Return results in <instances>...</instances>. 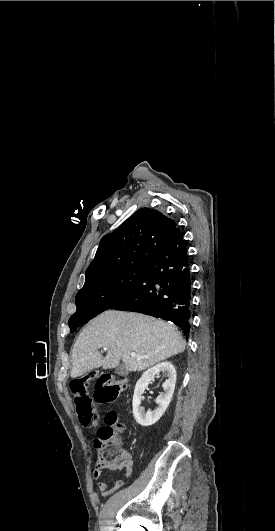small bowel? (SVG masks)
Masks as SVG:
<instances>
[{"label": "small bowel", "instance_id": "1", "mask_svg": "<svg viewBox=\"0 0 275 531\" xmlns=\"http://www.w3.org/2000/svg\"><path fill=\"white\" fill-rule=\"evenodd\" d=\"M100 444H101V441L99 440H95L94 442V446L95 447H100ZM119 458L121 459H132V456L129 452L127 451H122L119 455ZM111 470H116V469H111ZM104 473V470H99L97 469L94 473V476L95 478H98L100 477L102 474ZM130 475H125V477H129ZM98 489L100 491V494L103 498H106L110 495H112L113 493H115L119 488H111L110 485H108L107 482H100L98 484Z\"/></svg>", "mask_w": 275, "mask_h": 531}]
</instances>
